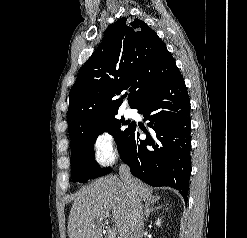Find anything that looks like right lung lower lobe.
I'll use <instances>...</instances> for the list:
<instances>
[{"instance_id":"right-lung-lower-lobe-1","label":"right lung lower lobe","mask_w":247,"mask_h":238,"mask_svg":"<svg viewBox=\"0 0 247 238\" xmlns=\"http://www.w3.org/2000/svg\"><path fill=\"white\" fill-rule=\"evenodd\" d=\"M136 108L149 121V129L131 123L120 152L122 161L147 184L173 187L187 200L191 173L190 99L179 69ZM141 133L146 134L145 140H139Z\"/></svg>"}]
</instances>
